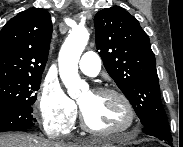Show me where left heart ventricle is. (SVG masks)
I'll return each mask as SVG.
<instances>
[{
  "label": "left heart ventricle",
  "mask_w": 183,
  "mask_h": 147,
  "mask_svg": "<svg viewBox=\"0 0 183 147\" xmlns=\"http://www.w3.org/2000/svg\"><path fill=\"white\" fill-rule=\"evenodd\" d=\"M79 104L89 124L96 129H121L128 124L126 107L113 95H97L88 91L79 99Z\"/></svg>",
  "instance_id": "b2bd125f"
}]
</instances>
